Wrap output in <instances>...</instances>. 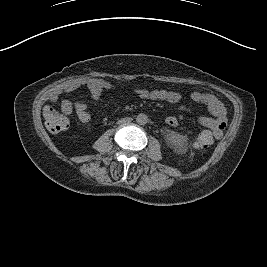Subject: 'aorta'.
Returning a JSON list of instances; mask_svg holds the SVG:
<instances>
[{
	"instance_id": "1",
	"label": "aorta",
	"mask_w": 267,
	"mask_h": 267,
	"mask_svg": "<svg viewBox=\"0 0 267 267\" xmlns=\"http://www.w3.org/2000/svg\"><path fill=\"white\" fill-rule=\"evenodd\" d=\"M148 121V117L147 115L145 114H139L137 117H136V122L140 125H144L146 124Z\"/></svg>"
}]
</instances>
